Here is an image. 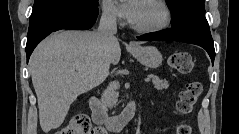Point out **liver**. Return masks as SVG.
<instances>
[{
    "mask_svg": "<svg viewBox=\"0 0 239 134\" xmlns=\"http://www.w3.org/2000/svg\"><path fill=\"white\" fill-rule=\"evenodd\" d=\"M120 57L118 40L105 45L96 31H61L43 40L29 61L42 130L60 127L77 96L102 82V60L116 65Z\"/></svg>",
    "mask_w": 239,
    "mask_h": 134,
    "instance_id": "obj_1",
    "label": "liver"
}]
</instances>
